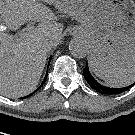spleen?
Masks as SVG:
<instances>
[{"instance_id": "1", "label": "spleen", "mask_w": 135, "mask_h": 135, "mask_svg": "<svg viewBox=\"0 0 135 135\" xmlns=\"http://www.w3.org/2000/svg\"><path fill=\"white\" fill-rule=\"evenodd\" d=\"M89 64L91 69L94 71V67L97 63L89 61ZM94 73L102 79L105 84L111 87H125L135 82V63L123 70L113 71L110 73L94 71Z\"/></svg>"}]
</instances>
